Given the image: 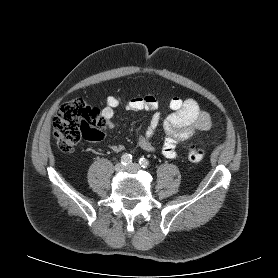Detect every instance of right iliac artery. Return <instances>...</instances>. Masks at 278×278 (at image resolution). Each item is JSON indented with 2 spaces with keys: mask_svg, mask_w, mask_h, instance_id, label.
Segmentation results:
<instances>
[{
  "mask_svg": "<svg viewBox=\"0 0 278 278\" xmlns=\"http://www.w3.org/2000/svg\"><path fill=\"white\" fill-rule=\"evenodd\" d=\"M131 162H132V155H130V154H128V153H125V154H123L122 155V157H121V163L123 164V165H129V164H131Z\"/></svg>",
  "mask_w": 278,
  "mask_h": 278,
  "instance_id": "right-iliac-artery-1",
  "label": "right iliac artery"
}]
</instances>
